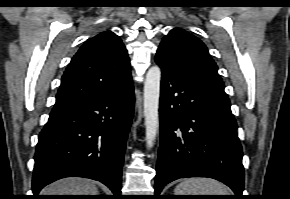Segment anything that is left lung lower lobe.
Listing matches in <instances>:
<instances>
[{
  "label": "left lung lower lobe",
  "mask_w": 290,
  "mask_h": 199,
  "mask_svg": "<svg viewBox=\"0 0 290 199\" xmlns=\"http://www.w3.org/2000/svg\"><path fill=\"white\" fill-rule=\"evenodd\" d=\"M155 60L162 71L156 196L176 179L209 177L241 199L243 153L227 94L177 72L158 54Z\"/></svg>",
  "instance_id": "0a47b994"
}]
</instances>
